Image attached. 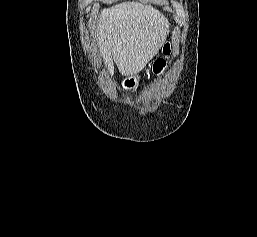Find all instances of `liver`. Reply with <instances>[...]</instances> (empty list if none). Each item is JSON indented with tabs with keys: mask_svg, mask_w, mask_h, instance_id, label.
I'll return each mask as SVG.
<instances>
[{
	"mask_svg": "<svg viewBox=\"0 0 257 237\" xmlns=\"http://www.w3.org/2000/svg\"><path fill=\"white\" fill-rule=\"evenodd\" d=\"M93 28L108 72L114 74V61L122 75L130 76L159 52L169 22L153 7L132 1L103 9Z\"/></svg>",
	"mask_w": 257,
	"mask_h": 237,
	"instance_id": "liver-1",
	"label": "liver"
}]
</instances>
